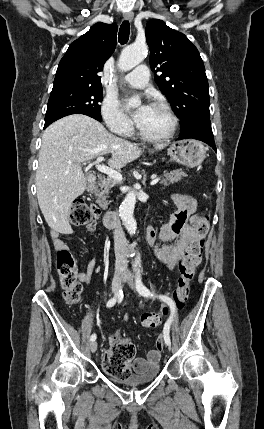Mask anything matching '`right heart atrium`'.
<instances>
[{"mask_svg": "<svg viewBox=\"0 0 264 429\" xmlns=\"http://www.w3.org/2000/svg\"><path fill=\"white\" fill-rule=\"evenodd\" d=\"M101 116L108 129L117 135L127 136L132 131L130 119L120 110L117 101L107 97L101 105Z\"/></svg>", "mask_w": 264, "mask_h": 429, "instance_id": "right-heart-atrium-1", "label": "right heart atrium"}]
</instances>
